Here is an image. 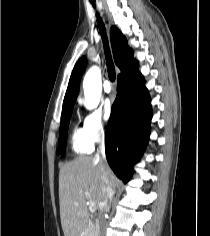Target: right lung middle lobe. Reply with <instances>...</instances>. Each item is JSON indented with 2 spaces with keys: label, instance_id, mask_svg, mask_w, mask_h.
Returning <instances> with one entry per match:
<instances>
[{
  "label": "right lung middle lobe",
  "instance_id": "dd1d6c3e",
  "mask_svg": "<svg viewBox=\"0 0 210 236\" xmlns=\"http://www.w3.org/2000/svg\"><path fill=\"white\" fill-rule=\"evenodd\" d=\"M71 109L62 112L61 116V124H60V136H59V146H58V154H61V156L65 153V146L67 142V131L69 127L70 122V114Z\"/></svg>",
  "mask_w": 210,
  "mask_h": 236
}]
</instances>
